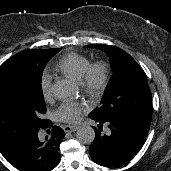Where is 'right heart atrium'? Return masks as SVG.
I'll return each mask as SVG.
<instances>
[{"label": "right heart atrium", "instance_id": "d8ad5b80", "mask_svg": "<svg viewBox=\"0 0 171 171\" xmlns=\"http://www.w3.org/2000/svg\"><path fill=\"white\" fill-rule=\"evenodd\" d=\"M40 89L45 100L52 97V76L49 72L44 71L40 78Z\"/></svg>", "mask_w": 171, "mask_h": 171}]
</instances>
